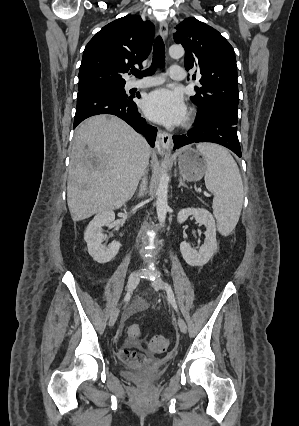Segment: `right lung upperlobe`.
Wrapping results in <instances>:
<instances>
[{"label": "right lung upper lobe", "mask_w": 299, "mask_h": 426, "mask_svg": "<svg viewBox=\"0 0 299 426\" xmlns=\"http://www.w3.org/2000/svg\"><path fill=\"white\" fill-rule=\"evenodd\" d=\"M154 25L127 15L104 26L86 45L79 70V86L125 84L123 74L148 56Z\"/></svg>", "instance_id": "right-lung-upper-lobe-1"}]
</instances>
